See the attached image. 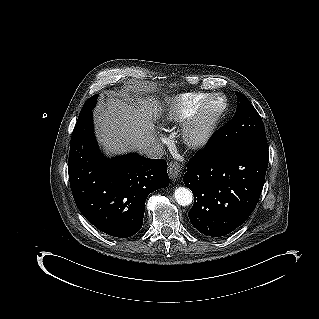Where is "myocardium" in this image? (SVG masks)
<instances>
[{
    "label": "myocardium",
    "instance_id": "1",
    "mask_svg": "<svg viewBox=\"0 0 319 319\" xmlns=\"http://www.w3.org/2000/svg\"><path fill=\"white\" fill-rule=\"evenodd\" d=\"M215 100H221V107L215 114L208 116V107ZM226 111V98L220 93L209 94L182 125L180 131L182 143L191 149H198L206 145Z\"/></svg>",
    "mask_w": 319,
    "mask_h": 319
}]
</instances>
